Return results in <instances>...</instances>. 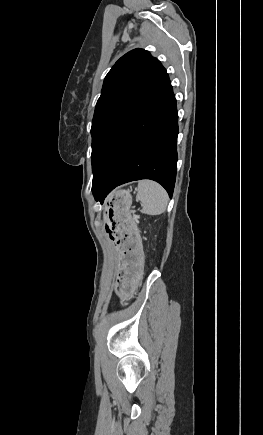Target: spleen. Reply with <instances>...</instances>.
I'll use <instances>...</instances> for the list:
<instances>
[{
    "label": "spleen",
    "mask_w": 263,
    "mask_h": 435,
    "mask_svg": "<svg viewBox=\"0 0 263 435\" xmlns=\"http://www.w3.org/2000/svg\"><path fill=\"white\" fill-rule=\"evenodd\" d=\"M137 199L140 200L143 213L159 215L165 212L168 204V194L157 182L142 180L138 183Z\"/></svg>",
    "instance_id": "obj_1"
}]
</instances>
